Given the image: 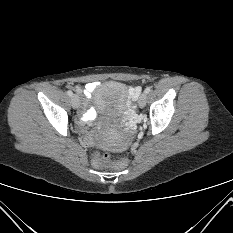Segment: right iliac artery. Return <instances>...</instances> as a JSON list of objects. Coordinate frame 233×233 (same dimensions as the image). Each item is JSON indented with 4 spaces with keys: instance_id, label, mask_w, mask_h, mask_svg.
<instances>
[{
    "instance_id": "right-iliac-artery-1",
    "label": "right iliac artery",
    "mask_w": 233,
    "mask_h": 233,
    "mask_svg": "<svg viewBox=\"0 0 233 233\" xmlns=\"http://www.w3.org/2000/svg\"><path fill=\"white\" fill-rule=\"evenodd\" d=\"M67 95L72 96V95H73V92H72L71 90H68V91H67Z\"/></svg>"
}]
</instances>
